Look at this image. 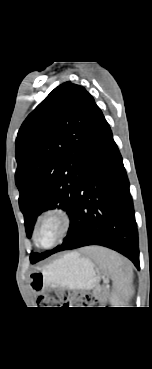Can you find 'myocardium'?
<instances>
[{"label":"myocardium","mask_w":152,"mask_h":369,"mask_svg":"<svg viewBox=\"0 0 152 369\" xmlns=\"http://www.w3.org/2000/svg\"><path fill=\"white\" fill-rule=\"evenodd\" d=\"M55 218L59 221L60 224V231L57 238L48 246H44L39 241V231L42 227L43 223L49 219ZM71 227V216L69 212L61 207H51L43 211L36 222L35 229H34V241L38 247L42 249H51L58 245L69 233Z\"/></svg>","instance_id":"1"}]
</instances>
